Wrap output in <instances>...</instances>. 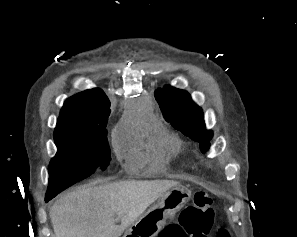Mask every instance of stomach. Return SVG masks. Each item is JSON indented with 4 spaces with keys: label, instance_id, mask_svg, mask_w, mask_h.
<instances>
[{
    "label": "stomach",
    "instance_id": "1",
    "mask_svg": "<svg viewBox=\"0 0 297 237\" xmlns=\"http://www.w3.org/2000/svg\"><path fill=\"white\" fill-rule=\"evenodd\" d=\"M190 197V190L183 186L171 188L128 227L123 237H156L167 217L179 211Z\"/></svg>",
    "mask_w": 297,
    "mask_h": 237
}]
</instances>
